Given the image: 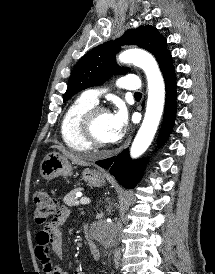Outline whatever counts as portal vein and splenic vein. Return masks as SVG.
Segmentation results:
<instances>
[{
    "mask_svg": "<svg viewBox=\"0 0 215 274\" xmlns=\"http://www.w3.org/2000/svg\"><path fill=\"white\" fill-rule=\"evenodd\" d=\"M80 203H81L82 205L89 204V203H90V199L87 198V197H82V198L80 199Z\"/></svg>",
    "mask_w": 215,
    "mask_h": 274,
    "instance_id": "obj_1",
    "label": "portal vein and splenic vein"
}]
</instances>
